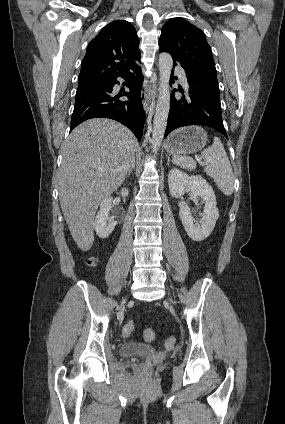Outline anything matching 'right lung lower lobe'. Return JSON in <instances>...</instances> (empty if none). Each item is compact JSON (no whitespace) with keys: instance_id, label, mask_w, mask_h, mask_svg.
Listing matches in <instances>:
<instances>
[{"instance_id":"1","label":"right lung lower lobe","mask_w":285,"mask_h":424,"mask_svg":"<svg viewBox=\"0 0 285 424\" xmlns=\"http://www.w3.org/2000/svg\"><path fill=\"white\" fill-rule=\"evenodd\" d=\"M117 77L128 81L129 92L115 94L113 87L119 84ZM143 75L137 66L132 71L108 80L79 85L76 92L71 129L80 123L97 117L114 119L128 127L141 140L145 113L141 101ZM126 96L128 101L119 98Z\"/></svg>"}]
</instances>
